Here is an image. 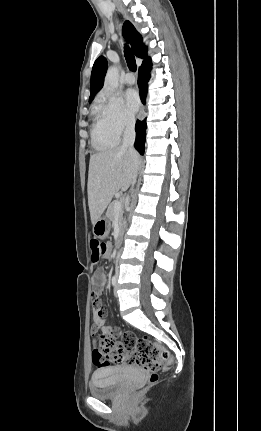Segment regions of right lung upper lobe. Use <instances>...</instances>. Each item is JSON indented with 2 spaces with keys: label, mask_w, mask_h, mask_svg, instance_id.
<instances>
[{
  "label": "right lung upper lobe",
  "mask_w": 261,
  "mask_h": 431,
  "mask_svg": "<svg viewBox=\"0 0 261 431\" xmlns=\"http://www.w3.org/2000/svg\"><path fill=\"white\" fill-rule=\"evenodd\" d=\"M123 32L129 41L134 54L137 57L145 58V60L148 59V57H146L147 48L143 45L142 37L131 22L125 21L123 25ZM106 71L107 60L105 57L100 56L95 61L91 72L89 101H92L95 94L102 88Z\"/></svg>",
  "instance_id": "cb5924a9"
}]
</instances>
